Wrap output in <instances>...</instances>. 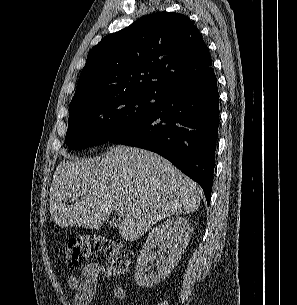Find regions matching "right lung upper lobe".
I'll use <instances>...</instances> for the list:
<instances>
[{
  "label": "right lung upper lobe",
  "mask_w": 297,
  "mask_h": 305,
  "mask_svg": "<svg viewBox=\"0 0 297 305\" xmlns=\"http://www.w3.org/2000/svg\"><path fill=\"white\" fill-rule=\"evenodd\" d=\"M213 72L207 45L190 19L173 12L154 13L91 49L69 111L126 92L160 94Z\"/></svg>",
  "instance_id": "1"
}]
</instances>
